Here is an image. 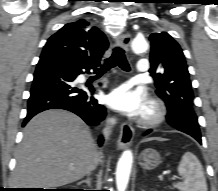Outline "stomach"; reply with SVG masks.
I'll return each instance as SVG.
<instances>
[{"mask_svg": "<svg viewBox=\"0 0 218 191\" xmlns=\"http://www.w3.org/2000/svg\"><path fill=\"white\" fill-rule=\"evenodd\" d=\"M161 162L159 152L151 148L145 149L139 156V165L145 170H153L157 168Z\"/></svg>", "mask_w": 218, "mask_h": 191, "instance_id": "obj_1", "label": "stomach"}]
</instances>
